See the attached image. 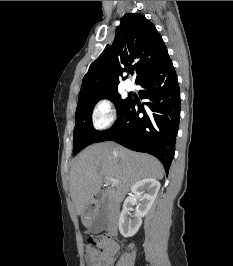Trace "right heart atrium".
<instances>
[{"label": "right heart atrium", "instance_id": "right-heart-atrium-1", "mask_svg": "<svg viewBox=\"0 0 233 266\" xmlns=\"http://www.w3.org/2000/svg\"><path fill=\"white\" fill-rule=\"evenodd\" d=\"M116 110L114 103L107 97L97 100L92 110V124L96 130H105L115 121Z\"/></svg>", "mask_w": 233, "mask_h": 266}]
</instances>
